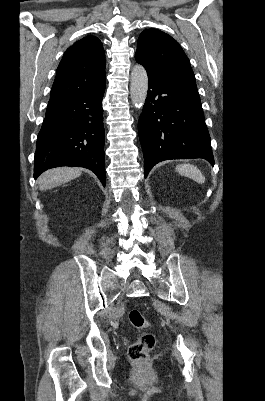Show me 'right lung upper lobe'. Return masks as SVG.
<instances>
[{
    "mask_svg": "<svg viewBox=\"0 0 265 401\" xmlns=\"http://www.w3.org/2000/svg\"><path fill=\"white\" fill-rule=\"evenodd\" d=\"M105 53L101 41L87 36L64 53L56 70L49 102L89 93L105 86Z\"/></svg>",
    "mask_w": 265,
    "mask_h": 401,
    "instance_id": "right-lung-upper-lobe-1",
    "label": "right lung upper lobe"
}]
</instances>
